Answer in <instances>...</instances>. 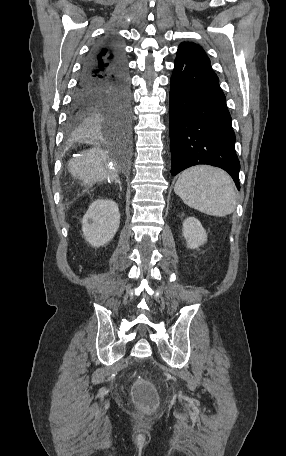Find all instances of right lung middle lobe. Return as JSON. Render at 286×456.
<instances>
[{"instance_id": "dd1d6c3e", "label": "right lung middle lobe", "mask_w": 286, "mask_h": 456, "mask_svg": "<svg viewBox=\"0 0 286 456\" xmlns=\"http://www.w3.org/2000/svg\"><path fill=\"white\" fill-rule=\"evenodd\" d=\"M96 129L106 130V129H104L103 127H96ZM125 130H126V127L123 126V125H121V126L118 127V132H119L120 134H122ZM130 134H131V131H130V133H129L128 138H126V139L121 138V139H122L124 142L128 143L129 140H130Z\"/></svg>"}]
</instances>
